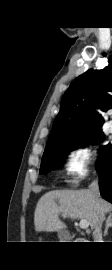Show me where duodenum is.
Wrapping results in <instances>:
<instances>
[{
    "instance_id": "1",
    "label": "duodenum",
    "mask_w": 112,
    "mask_h": 270,
    "mask_svg": "<svg viewBox=\"0 0 112 270\" xmlns=\"http://www.w3.org/2000/svg\"><path fill=\"white\" fill-rule=\"evenodd\" d=\"M74 240H75V242H82V239H80V238H76Z\"/></svg>"
}]
</instances>
